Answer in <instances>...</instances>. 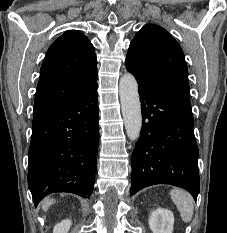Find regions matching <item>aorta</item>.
Listing matches in <instances>:
<instances>
[{
	"label": "aorta",
	"mask_w": 227,
	"mask_h": 233,
	"mask_svg": "<svg viewBox=\"0 0 227 233\" xmlns=\"http://www.w3.org/2000/svg\"><path fill=\"white\" fill-rule=\"evenodd\" d=\"M119 95L127 136L131 141L137 140L141 132L142 114L138 84L132 74L126 73L120 78Z\"/></svg>",
	"instance_id": "762f6f07"
}]
</instances>
